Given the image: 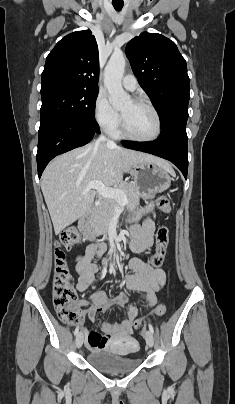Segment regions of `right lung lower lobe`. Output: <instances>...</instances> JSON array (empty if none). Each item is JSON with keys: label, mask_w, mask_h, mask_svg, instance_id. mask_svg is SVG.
<instances>
[{"label": "right lung lower lobe", "mask_w": 235, "mask_h": 404, "mask_svg": "<svg viewBox=\"0 0 235 404\" xmlns=\"http://www.w3.org/2000/svg\"><path fill=\"white\" fill-rule=\"evenodd\" d=\"M96 122L53 117L41 121L38 138L37 167L39 178L46 165L57 155L83 146L99 133Z\"/></svg>", "instance_id": "right-lung-lower-lobe-1"}]
</instances>
